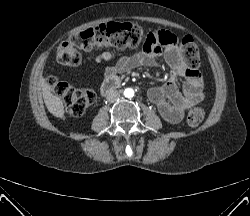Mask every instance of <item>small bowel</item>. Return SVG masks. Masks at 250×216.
I'll return each instance as SVG.
<instances>
[{
	"mask_svg": "<svg viewBox=\"0 0 250 216\" xmlns=\"http://www.w3.org/2000/svg\"><path fill=\"white\" fill-rule=\"evenodd\" d=\"M177 37L167 31H150L142 39L143 51L131 55H123L115 60V55L104 52L95 57L91 66L104 61L115 62L106 67L100 74L102 79L114 78L120 73L131 71L141 66H157L159 57L163 58L170 68L166 82L153 87L148 92L149 99L156 104L161 116L170 123H178L185 112L203 100V79L197 70L187 69L177 49ZM184 79L183 88L179 90L176 79Z\"/></svg>",
	"mask_w": 250,
	"mask_h": 216,
	"instance_id": "c3829d8e",
	"label": "small bowel"
}]
</instances>
